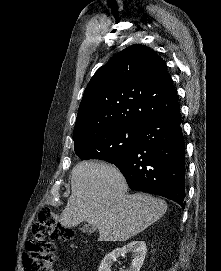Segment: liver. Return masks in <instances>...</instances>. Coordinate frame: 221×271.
I'll list each match as a JSON object with an SVG mask.
<instances>
[{
  "label": "liver",
  "instance_id": "1",
  "mask_svg": "<svg viewBox=\"0 0 221 271\" xmlns=\"http://www.w3.org/2000/svg\"><path fill=\"white\" fill-rule=\"evenodd\" d=\"M71 195L60 217L64 227L81 221L98 227V241H126L160 219L164 199L149 193H126L118 167L104 161H79L71 171Z\"/></svg>",
  "mask_w": 221,
  "mask_h": 271
}]
</instances>
